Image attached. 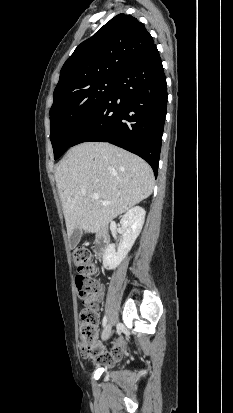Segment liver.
<instances>
[{
    "instance_id": "6515ba94",
    "label": "liver",
    "mask_w": 233,
    "mask_h": 413,
    "mask_svg": "<svg viewBox=\"0 0 233 413\" xmlns=\"http://www.w3.org/2000/svg\"><path fill=\"white\" fill-rule=\"evenodd\" d=\"M55 180L68 237L76 228L99 232L113 218L148 198L154 188L153 171L147 162L107 142L72 147L58 164ZM95 193L98 200L93 198Z\"/></svg>"
}]
</instances>
